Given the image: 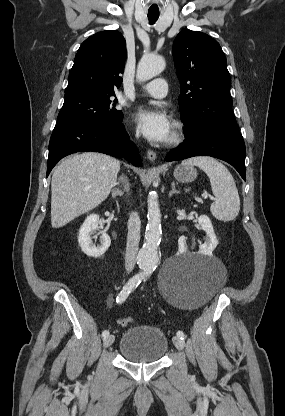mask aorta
I'll return each mask as SVG.
<instances>
[{"label": "aorta", "instance_id": "aorta-1", "mask_svg": "<svg viewBox=\"0 0 285 416\" xmlns=\"http://www.w3.org/2000/svg\"><path fill=\"white\" fill-rule=\"evenodd\" d=\"M165 68V61L160 56L145 55L138 63L136 78L139 81H148L159 75ZM148 223L145 240L137 256V264L141 273L150 276L159 263L158 247L161 241V213L158 196L150 192L148 199Z\"/></svg>", "mask_w": 285, "mask_h": 416}]
</instances>
